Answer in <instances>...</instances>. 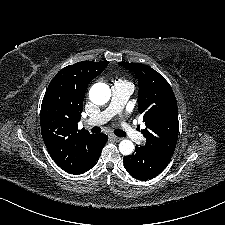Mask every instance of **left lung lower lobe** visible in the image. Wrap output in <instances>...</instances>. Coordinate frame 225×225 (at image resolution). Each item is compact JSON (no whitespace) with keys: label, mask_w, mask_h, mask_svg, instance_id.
Wrapping results in <instances>:
<instances>
[{"label":"left lung lower lobe","mask_w":225,"mask_h":225,"mask_svg":"<svg viewBox=\"0 0 225 225\" xmlns=\"http://www.w3.org/2000/svg\"><path fill=\"white\" fill-rule=\"evenodd\" d=\"M171 157L145 146H136L132 155L124 157V167L132 177L145 181L159 175L169 164Z\"/></svg>","instance_id":"0a47b994"}]
</instances>
